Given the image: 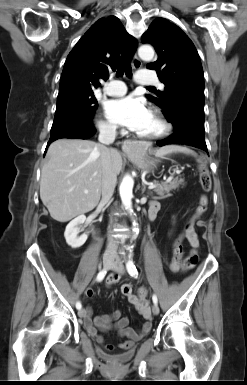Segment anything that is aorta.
<instances>
[{
  "mask_svg": "<svg viewBox=\"0 0 247 385\" xmlns=\"http://www.w3.org/2000/svg\"><path fill=\"white\" fill-rule=\"evenodd\" d=\"M139 57L144 61H150L154 57V49L150 45H142L138 50ZM134 186V180L131 176L126 175L119 187L120 197L124 207L132 212V190Z\"/></svg>",
  "mask_w": 247,
  "mask_h": 385,
  "instance_id": "762f6f07",
  "label": "aorta"
}]
</instances>
